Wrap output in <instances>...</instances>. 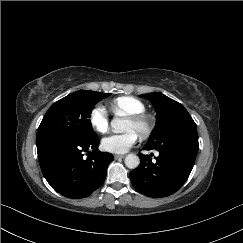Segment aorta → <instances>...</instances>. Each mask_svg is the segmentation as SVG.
Masks as SVG:
<instances>
[{
  "label": "aorta",
  "instance_id": "obj_1",
  "mask_svg": "<svg viewBox=\"0 0 243 243\" xmlns=\"http://www.w3.org/2000/svg\"><path fill=\"white\" fill-rule=\"evenodd\" d=\"M111 128L114 133H122L126 130L125 122L121 118H114L111 121ZM140 159L135 154H129L125 157V165L129 169H135L139 166Z\"/></svg>",
  "mask_w": 243,
  "mask_h": 243
}]
</instances>
